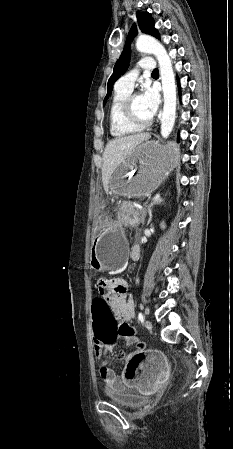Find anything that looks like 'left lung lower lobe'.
<instances>
[{
    "label": "left lung lower lobe",
    "instance_id": "1",
    "mask_svg": "<svg viewBox=\"0 0 233 449\" xmlns=\"http://www.w3.org/2000/svg\"><path fill=\"white\" fill-rule=\"evenodd\" d=\"M178 87H179V90H180V83H179V80H178ZM178 142H179V134H178Z\"/></svg>",
    "mask_w": 233,
    "mask_h": 449
}]
</instances>
